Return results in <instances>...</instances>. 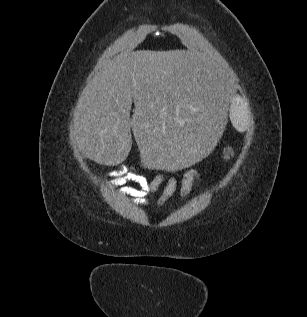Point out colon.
<instances>
[{
  "label": "colon",
  "mask_w": 307,
  "mask_h": 317,
  "mask_svg": "<svg viewBox=\"0 0 307 317\" xmlns=\"http://www.w3.org/2000/svg\"><path fill=\"white\" fill-rule=\"evenodd\" d=\"M234 154V151L231 148H228L224 152V160L228 161Z\"/></svg>",
  "instance_id": "1"
}]
</instances>
